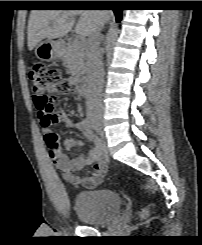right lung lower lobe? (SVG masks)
<instances>
[{
    "label": "right lung lower lobe",
    "mask_w": 202,
    "mask_h": 245,
    "mask_svg": "<svg viewBox=\"0 0 202 245\" xmlns=\"http://www.w3.org/2000/svg\"><path fill=\"white\" fill-rule=\"evenodd\" d=\"M99 6L112 7V10L114 11L116 16V21L120 22L122 17V9L119 8V1H102L101 5Z\"/></svg>",
    "instance_id": "obj_1"
}]
</instances>
